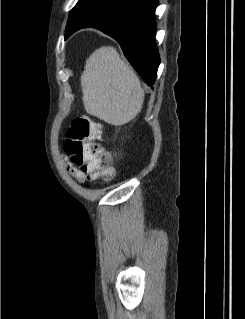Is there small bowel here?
<instances>
[{
  "label": "small bowel",
  "instance_id": "1",
  "mask_svg": "<svg viewBox=\"0 0 245 319\" xmlns=\"http://www.w3.org/2000/svg\"><path fill=\"white\" fill-rule=\"evenodd\" d=\"M63 160L65 162L67 172L71 174L75 179L82 181L84 179L83 173L73 164L68 162L67 158H64Z\"/></svg>",
  "mask_w": 245,
  "mask_h": 319
}]
</instances>
